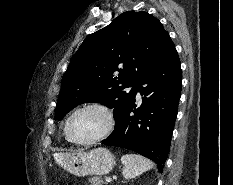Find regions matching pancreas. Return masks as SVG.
Wrapping results in <instances>:
<instances>
[{
	"label": "pancreas",
	"mask_w": 233,
	"mask_h": 185,
	"mask_svg": "<svg viewBox=\"0 0 233 185\" xmlns=\"http://www.w3.org/2000/svg\"><path fill=\"white\" fill-rule=\"evenodd\" d=\"M103 179L100 176H95L89 179V185H102Z\"/></svg>",
	"instance_id": "1"
}]
</instances>
